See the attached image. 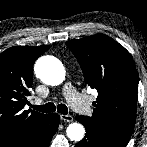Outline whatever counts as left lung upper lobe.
Instances as JSON below:
<instances>
[{"label": "left lung upper lobe", "mask_w": 147, "mask_h": 147, "mask_svg": "<svg viewBox=\"0 0 147 147\" xmlns=\"http://www.w3.org/2000/svg\"><path fill=\"white\" fill-rule=\"evenodd\" d=\"M78 60L87 85L98 91L87 122L126 147L136 120L138 76L130 53L104 34L66 42Z\"/></svg>", "instance_id": "obj_1"}]
</instances>
